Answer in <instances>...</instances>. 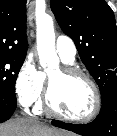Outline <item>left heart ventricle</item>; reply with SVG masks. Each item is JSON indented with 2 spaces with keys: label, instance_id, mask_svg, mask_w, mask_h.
<instances>
[{
  "label": "left heart ventricle",
  "instance_id": "obj_1",
  "mask_svg": "<svg viewBox=\"0 0 117 136\" xmlns=\"http://www.w3.org/2000/svg\"><path fill=\"white\" fill-rule=\"evenodd\" d=\"M51 101L56 109L71 117H85L94 106V94L89 84L80 77L66 78L61 69L50 74Z\"/></svg>",
  "mask_w": 117,
  "mask_h": 136
}]
</instances>
